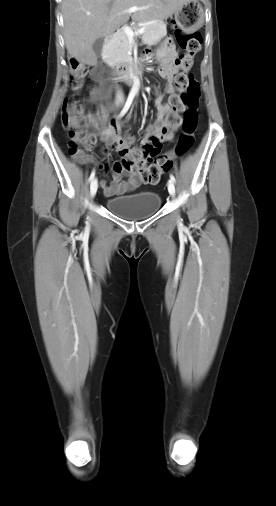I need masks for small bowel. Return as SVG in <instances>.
<instances>
[{
	"instance_id": "c3829d8e",
	"label": "small bowel",
	"mask_w": 276,
	"mask_h": 506,
	"mask_svg": "<svg viewBox=\"0 0 276 506\" xmlns=\"http://www.w3.org/2000/svg\"><path fill=\"white\" fill-rule=\"evenodd\" d=\"M152 56L151 50H146L145 59H149ZM179 54L174 46L172 39H167L164 45L156 53V61L158 62V73L166 80L164 92L173 94L175 89L173 85V78L178 70ZM91 78L96 85L90 91L91 101H98L106 97V88L99 76L97 70L91 72ZM157 107V118L153 125H150L144 134L142 139V145H145L150 138H158L160 141L168 139L177 130V126L172 127L167 123V115L171 111L172 107L170 104H164L162 102V95H159L156 99ZM90 118L94 121L100 120L102 123H106L108 120V112L106 109H102L97 117ZM114 134L111 126L106 127L101 132V137L104 139L106 136ZM154 156H150L149 159ZM100 169H105L113 178L110 185H107L105 180L100 181V187L102 188L106 196H115L134 190L140 184V178L136 173L127 171L119 161L107 159L105 165H101Z\"/></svg>"
}]
</instances>
